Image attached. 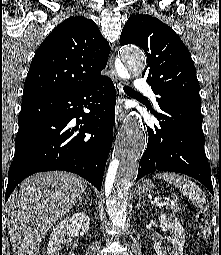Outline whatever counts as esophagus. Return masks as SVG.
<instances>
[{"mask_svg":"<svg viewBox=\"0 0 221 255\" xmlns=\"http://www.w3.org/2000/svg\"><path fill=\"white\" fill-rule=\"evenodd\" d=\"M109 69L111 73L112 80L114 82L116 90V107H115V117H116V127L123 121L125 114L122 108L124 92H123V81L117 76L114 69V55L111 54L109 59Z\"/></svg>","mask_w":221,"mask_h":255,"instance_id":"34e87169","label":"esophagus"}]
</instances>
